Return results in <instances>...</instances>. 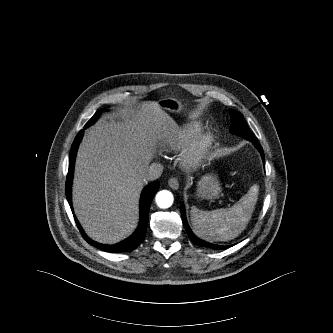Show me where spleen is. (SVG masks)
<instances>
[{"instance_id": "obj_1", "label": "spleen", "mask_w": 333, "mask_h": 333, "mask_svg": "<svg viewBox=\"0 0 333 333\" xmlns=\"http://www.w3.org/2000/svg\"><path fill=\"white\" fill-rule=\"evenodd\" d=\"M258 186L253 185L230 208L203 211L191 208V222L194 233L207 241H228L245 230L257 202Z\"/></svg>"}]
</instances>
